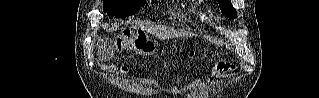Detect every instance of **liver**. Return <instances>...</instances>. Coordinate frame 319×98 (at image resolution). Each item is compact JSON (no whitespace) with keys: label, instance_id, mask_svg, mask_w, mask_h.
<instances>
[{"label":"liver","instance_id":"liver-1","mask_svg":"<svg viewBox=\"0 0 319 98\" xmlns=\"http://www.w3.org/2000/svg\"><path fill=\"white\" fill-rule=\"evenodd\" d=\"M133 28H137V26H133ZM138 28H142V29L152 33L153 35L157 36L161 40H166V39L175 38V37H189V36H191V34L188 32L175 30V29L168 28L165 26H146V25L142 26V25H139ZM114 30H116V28H111L107 31H114ZM99 56H100V54H99ZM100 58H102V57L100 56ZM102 59L105 60L104 58H102Z\"/></svg>","mask_w":319,"mask_h":98}]
</instances>
